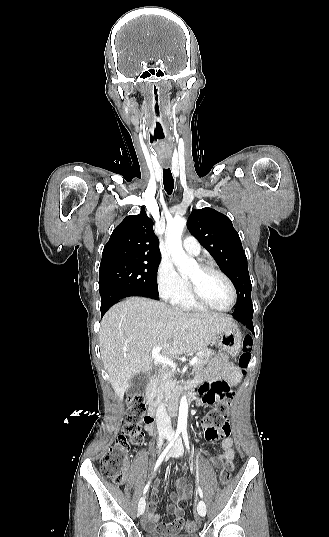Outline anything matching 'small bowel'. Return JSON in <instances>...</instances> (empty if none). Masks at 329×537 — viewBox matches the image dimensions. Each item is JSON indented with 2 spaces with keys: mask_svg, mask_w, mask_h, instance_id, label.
<instances>
[{
  "mask_svg": "<svg viewBox=\"0 0 329 537\" xmlns=\"http://www.w3.org/2000/svg\"><path fill=\"white\" fill-rule=\"evenodd\" d=\"M224 376L225 379L216 381L220 377ZM242 379L241 370L231 362L227 361L223 356H219L211 361L208 369L205 372V378L203 383L198 384L197 394H199V402H202L205 406L213 405L216 400L229 397L232 395L233 390L230 387L231 384H237ZM146 430L150 434L155 433L154 426L151 423L146 425ZM204 437L207 441L221 442L223 452L215 457L210 458V462L214 465H219L222 462L230 463L234 459V439L231 436L230 424L227 422L223 430L218 429L213 433L212 431L205 430ZM161 481L156 480L154 482L151 500L147 504L146 513L143 517V527L148 532L157 533H176L183 529V516L184 509L181 505H184L188 499L193 495L192 486L186 481L185 478L180 477L176 480L177 492L170 494L172 504L169 506L170 512L176 517L175 521L160 522L161 515L157 514V497Z\"/></svg>",
  "mask_w": 329,
  "mask_h": 537,
  "instance_id": "small-bowel-1",
  "label": "small bowel"
}]
</instances>
